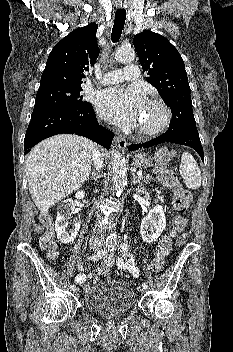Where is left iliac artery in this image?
<instances>
[{"label": "left iliac artery", "mask_w": 233, "mask_h": 352, "mask_svg": "<svg viewBox=\"0 0 233 352\" xmlns=\"http://www.w3.org/2000/svg\"><path fill=\"white\" fill-rule=\"evenodd\" d=\"M113 249H111V251H112ZM142 287L144 288V289H147L148 288V285H147V283H143L142 284Z\"/></svg>", "instance_id": "1"}]
</instances>
